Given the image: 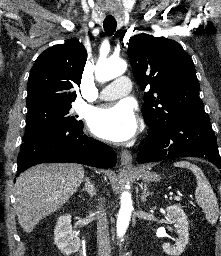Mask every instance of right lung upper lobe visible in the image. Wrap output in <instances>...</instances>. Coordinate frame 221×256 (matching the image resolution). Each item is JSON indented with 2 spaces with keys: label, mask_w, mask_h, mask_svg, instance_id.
<instances>
[{
  "label": "right lung upper lobe",
  "mask_w": 221,
  "mask_h": 256,
  "mask_svg": "<svg viewBox=\"0 0 221 256\" xmlns=\"http://www.w3.org/2000/svg\"><path fill=\"white\" fill-rule=\"evenodd\" d=\"M87 60L84 46L77 40L54 45L35 61L27 84L28 110L41 105H71L74 88L80 86Z\"/></svg>",
  "instance_id": "1"
}]
</instances>
